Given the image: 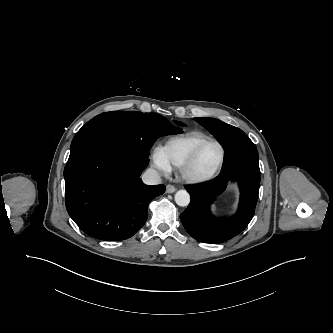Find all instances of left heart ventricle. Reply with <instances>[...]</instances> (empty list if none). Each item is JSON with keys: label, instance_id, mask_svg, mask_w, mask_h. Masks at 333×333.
<instances>
[{"label": "left heart ventricle", "instance_id": "obj_1", "mask_svg": "<svg viewBox=\"0 0 333 333\" xmlns=\"http://www.w3.org/2000/svg\"><path fill=\"white\" fill-rule=\"evenodd\" d=\"M220 158V149L214 143L205 145L193 166V172L197 175H204L210 172L217 164Z\"/></svg>", "mask_w": 333, "mask_h": 333}]
</instances>
